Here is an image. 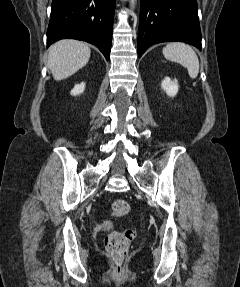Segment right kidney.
Segmentation results:
<instances>
[{
	"label": "right kidney",
	"mask_w": 240,
	"mask_h": 287,
	"mask_svg": "<svg viewBox=\"0 0 240 287\" xmlns=\"http://www.w3.org/2000/svg\"><path fill=\"white\" fill-rule=\"evenodd\" d=\"M84 90H85V83L82 82L74 86V88L71 90V95L73 96L80 95L81 93L84 92Z\"/></svg>",
	"instance_id": "obj_1"
}]
</instances>
